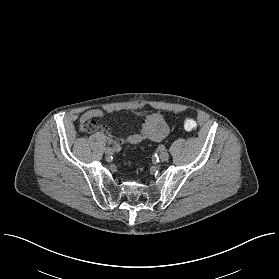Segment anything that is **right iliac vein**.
<instances>
[{
	"mask_svg": "<svg viewBox=\"0 0 279 279\" xmlns=\"http://www.w3.org/2000/svg\"><path fill=\"white\" fill-rule=\"evenodd\" d=\"M113 152H114L113 148H111V147H106V148H105V153H106L107 155H112Z\"/></svg>",
	"mask_w": 279,
	"mask_h": 279,
	"instance_id": "right-iliac-vein-1",
	"label": "right iliac vein"
}]
</instances>
